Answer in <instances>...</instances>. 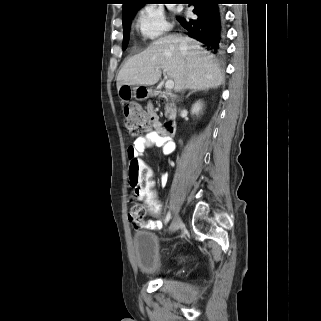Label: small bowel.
I'll return each instance as SVG.
<instances>
[{
    "label": "small bowel",
    "instance_id": "1",
    "mask_svg": "<svg viewBox=\"0 0 321 321\" xmlns=\"http://www.w3.org/2000/svg\"><path fill=\"white\" fill-rule=\"evenodd\" d=\"M155 129L146 133L143 136H140L135 139L133 145L128 148V157L131 155L138 156L139 154L144 153V151L150 147L156 146L163 149L164 154L170 155L173 153L175 146L171 138L164 132V130L160 127V124L157 120L154 123ZM162 183L166 182V176L163 175L161 178ZM142 201V207L144 208L143 198H139ZM162 227V222L160 220L155 221H142L138 228L143 229H151L158 230Z\"/></svg>",
    "mask_w": 321,
    "mask_h": 321
}]
</instances>
